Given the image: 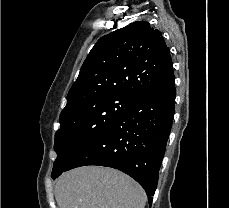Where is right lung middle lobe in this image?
<instances>
[{"instance_id":"1","label":"right lung middle lobe","mask_w":229,"mask_h":208,"mask_svg":"<svg viewBox=\"0 0 229 208\" xmlns=\"http://www.w3.org/2000/svg\"><path fill=\"white\" fill-rule=\"evenodd\" d=\"M136 101L122 95L101 96L77 105L61 116L60 129L55 133L57 158L51 176L61 175L88 142L111 126Z\"/></svg>"}]
</instances>
